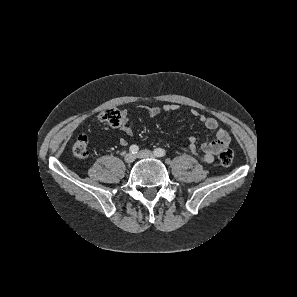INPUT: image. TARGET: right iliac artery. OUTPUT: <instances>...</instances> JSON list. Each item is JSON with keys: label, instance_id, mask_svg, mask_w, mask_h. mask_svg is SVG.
Masks as SVG:
<instances>
[{"label": "right iliac artery", "instance_id": "1", "mask_svg": "<svg viewBox=\"0 0 297 297\" xmlns=\"http://www.w3.org/2000/svg\"><path fill=\"white\" fill-rule=\"evenodd\" d=\"M129 151L132 154H136L139 151V147L137 145H131L130 148H129Z\"/></svg>", "mask_w": 297, "mask_h": 297}]
</instances>
